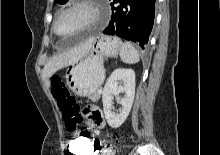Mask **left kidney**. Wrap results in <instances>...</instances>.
<instances>
[{"instance_id": "left-kidney-1", "label": "left kidney", "mask_w": 220, "mask_h": 155, "mask_svg": "<svg viewBox=\"0 0 220 155\" xmlns=\"http://www.w3.org/2000/svg\"><path fill=\"white\" fill-rule=\"evenodd\" d=\"M119 81L122 84L119 85ZM125 93L123 98H118L121 104L119 113L111 111L113 95ZM135 96V72L132 69L117 68L112 72L104 86L102 93L103 110L107 123L112 128L120 127L127 119Z\"/></svg>"}]
</instances>
